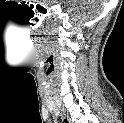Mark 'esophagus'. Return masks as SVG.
<instances>
[{"mask_svg":"<svg viewBox=\"0 0 124 123\" xmlns=\"http://www.w3.org/2000/svg\"><path fill=\"white\" fill-rule=\"evenodd\" d=\"M61 118H62L63 123H70L69 118L67 117V115L64 112H61Z\"/></svg>","mask_w":124,"mask_h":123,"instance_id":"obj_1","label":"esophagus"}]
</instances>
